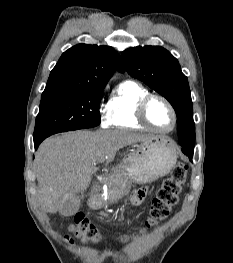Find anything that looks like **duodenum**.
<instances>
[{
  "instance_id": "duodenum-1",
  "label": "duodenum",
  "mask_w": 233,
  "mask_h": 263,
  "mask_svg": "<svg viewBox=\"0 0 233 263\" xmlns=\"http://www.w3.org/2000/svg\"><path fill=\"white\" fill-rule=\"evenodd\" d=\"M89 204L92 208H97L100 205L98 197L96 195H92L89 199Z\"/></svg>"
}]
</instances>
